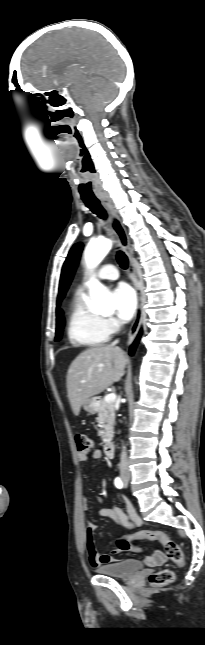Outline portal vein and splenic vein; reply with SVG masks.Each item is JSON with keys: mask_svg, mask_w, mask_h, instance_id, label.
Segmentation results:
<instances>
[{"mask_svg": "<svg viewBox=\"0 0 205 645\" xmlns=\"http://www.w3.org/2000/svg\"><path fill=\"white\" fill-rule=\"evenodd\" d=\"M116 399L115 393H110L105 397V401L107 402H114Z\"/></svg>", "mask_w": 205, "mask_h": 645, "instance_id": "18ae733b", "label": "portal vein and splenic vein"}]
</instances>
